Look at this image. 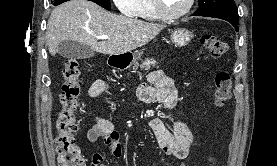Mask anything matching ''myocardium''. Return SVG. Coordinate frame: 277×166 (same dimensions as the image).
Here are the masks:
<instances>
[{"label":"myocardium","instance_id":"1","mask_svg":"<svg viewBox=\"0 0 277 166\" xmlns=\"http://www.w3.org/2000/svg\"><path fill=\"white\" fill-rule=\"evenodd\" d=\"M195 0H187L185 7L177 13H169L165 10L162 0H152L157 15L166 21L178 20L187 15L194 5Z\"/></svg>","mask_w":277,"mask_h":166}]
</instances>
